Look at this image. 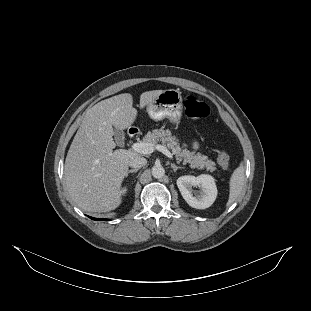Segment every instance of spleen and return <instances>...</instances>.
<instances>
[{
  "instance_id": "obj_1",
  "label": "spleen",
  "mask_w": 311,
  "mask_h": 311,
  "mask_svg": "<svg viewBox=\"0 0 311 311\" xmlns=\"http://www.w3.org/2000/svg\"><path fill=\"white\" fill-rule=\"evenodd\" d=\"M245 183V170H244V160H241L231 173L228 186H229V196L226 203V207L230 206L241 194Z\"/></svg>"
}]
</instances>
